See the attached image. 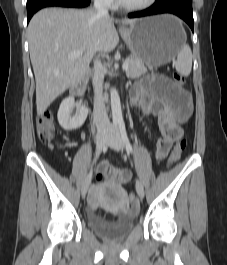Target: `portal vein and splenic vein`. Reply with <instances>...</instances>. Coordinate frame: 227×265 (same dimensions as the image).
<instances>
[{
  "mask_svg": "<svg viewBox=\"0 0 227 265\" xmlns=\"http://www.w3.org/2000/svg\"><path fill=\"white\" fill-rule=\"evenodd\" d=\"M82 54H83L82 51H74V52H71V53L68 55V58H69V59H77V58H79ZM122 68H123V70H127V69H128V64H127L126 62H124L123 65H122Z\"/></svg>",
  "mask_w": 227,
  "mask_h": 265,
  "instance_id": "18ae733b",
  "label": "portal vein and splenic vein"
}]
</instances>
